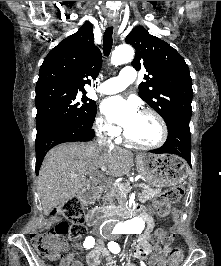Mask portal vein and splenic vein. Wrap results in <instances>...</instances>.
Here are the masks:
<instances>
[{
	"mask_svg": "<svg viewBox=\"0 0 221 266\" xmlns=\"http://www.w3.org/2000/svg\"><path fill=\"white\" fill-rule=\"evenodd\" d=\"M101 171H106V167L105 166H102L101 167ZM73 176H77V175H73ZM113 186L117 187L120 191H122L123 193L126 191L127 192V188L121 184V183H117V182H114L113 183Z\"/></svg>",
	"mask_w": 221,
	"mask_h": 266,
	"instance_id": "18ae733b",
	"label": "portal vein and splenic vein"
}]
</instances>
